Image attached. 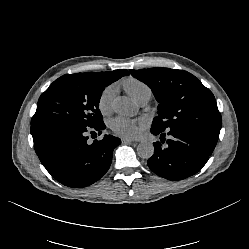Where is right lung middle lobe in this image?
I'll list each match as a JSON object with an SVG mask.
<instances>
[{"label":"right lung middle lobe","mask_w":249,"mask_h":249,"mask_svg":"<svg viewBox=\"0 0 249 249\" xmlns=\"http://www.w3.org/2000/svg\"><path fill=\"white\" fill-rule=\"evenodd\" d=\"M122 77V70L66 74L40 96L31 120L94 127L103 122L98 109L104 88Z\"/></svg>","instance_id":"obj_1"}]
</instances>
